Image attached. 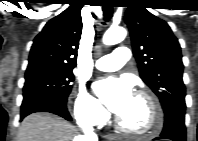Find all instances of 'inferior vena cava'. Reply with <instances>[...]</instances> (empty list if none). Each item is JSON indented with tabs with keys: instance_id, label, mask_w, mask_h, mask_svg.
I'll return each instance as SVG.
<instances>
[{
	"instance_id": "inferior-vena-cava-1",
	"label": "inferior vena cava",
	"mask_w": 198,
	"mask_h": 141,
	"mask_svg": "<svg viewBox=\"0 0 198 141\" xmlns=\"http://www.w3.org/2000/svg\"><path fill=\"white\" fill-rule=\"evenodd\" d=\"M84 135L81 137L82 141H97L98 137L93 132L91 125H83Z\"/></svg>"
}]
</instances>
